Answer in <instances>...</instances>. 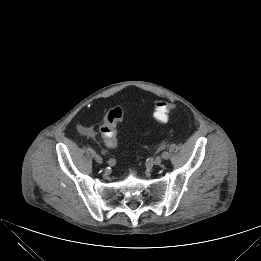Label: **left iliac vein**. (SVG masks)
Returning <instances> with one entry per match:
<instances>
[{"label":"left iliac vein","mask_w":261,"mask_h":261,"mask_svg":"<svg viewBox=\"0 0 261 261\" xmlns=\"http://www.w3.org/2000/svg\"><path fill=\"white\" fill-rule=\"evenodd\" d=\"M154 165L158 166L162 163V157L161 156H157L154 161H153Z\"/></svg>","instance_id":"left-iliac-vein-1"}]
</instances>
